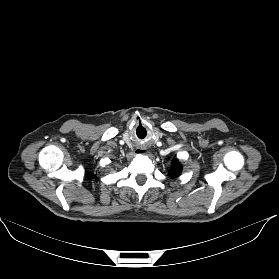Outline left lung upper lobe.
I'll return each instance as SVG.
<instances>
[{"mask_svg": "<svg viewBox=\"0 0 279 279\" xmlns=\"http://www.w3.org/2000/svg\"><path fill=\"white\" fill-rule=\"evenodd\" d=\"M182 170V166L178 163L177 160H173L172 161V168L169 170L168 174L171 177H175L176 175H178Z\"/></svg>", "mask_w": 279, "mask_h": 279, "instance_id": "5c2ea615", "label": "left lung upper lobe"}]
</instances>
